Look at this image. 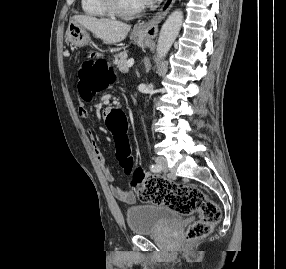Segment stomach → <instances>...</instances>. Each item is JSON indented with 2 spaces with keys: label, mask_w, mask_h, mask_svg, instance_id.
I'll use <instances>...</instances> for the list:
<instances>
[{
  "label": "stomach",
  "mask_w": 286,
  "mask_h": 269,
  "mask_svg": "<svg viewBox=\"0 0 286 269\" xmlns=\"http://www.w3.org/2000/svg\"><path fill=\"white\" fill-rule=\"evenodd\" d=\"M130 37L135 41V43H137L138 46L142 48L145 47L148 41L145 35L137 29L132 31ZM65 40L71 46L83 47L90 42V36L87 33L85 27L76 21L71 20L65 34Z\"/></svg>",
  "instance_id": "obj_1"
}]
</instances>
